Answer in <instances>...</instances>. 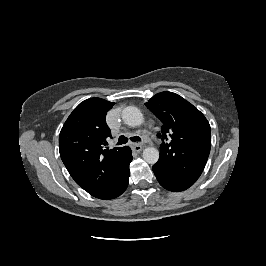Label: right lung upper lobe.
<instances>
[{
  "mask_svg": "<svg viewBox=\"0 0 266 266\" xmlns=\"http://www.w3.org/2000/svg\"><path fill=\"white\" fill-rule=\"evenodd\" d=\"M114 103L90 98L70 114L59 135L61 159L75 182L90 195L101 198L113 186L129 147L108 149L112 138L106 114Z\"/></svg>",
  "mask_w": 266,
  "mask_h": 266,
  "instance_id": "cb5924a9",
  "label": "right lung upper lobe"
}]
</instances>
